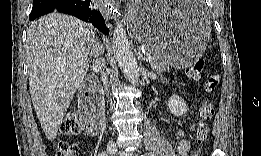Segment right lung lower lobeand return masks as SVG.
Returning <instances> with one entry per match:
<instances>
[{
	"label": "right lung lower lobe",
	"mask_w": 261,
	"mask_h": 156,
	"mask_svg": "<svg viewBox=\"0 0 261 156\" xmlns=\"http://www.w3.org/2000/svg\"><path fill=\"white\" fill-rule=\"evenodd\" d=\"M53 11L70 14L86 22L89 21L101 32L108 34L104 18L91 0H33L30 20Z\"/></svg>",
	"instance_id": "obj_1"
}]
</instances>
